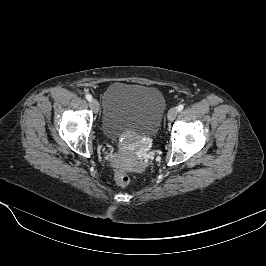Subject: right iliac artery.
<instances>
[{
	"label": "right iliac artery",
	"instance_id": "obj_1",
	"mask_svg": "<svg viewBox=\"0 0 266 266\" xmlns=\"http://www.w3.org/2000/svg\"><path fill=\"white\" fill-rule=\"evenodd\" d=\"M85 97H86V99H87L88 101H91V100H92V96H91L90 94H87Z\"/></svg>",
	"mask_w": 266,
	"mask_h": 266
}]
</instances>
